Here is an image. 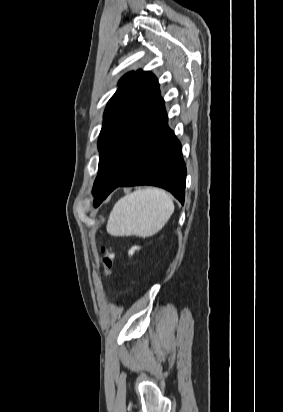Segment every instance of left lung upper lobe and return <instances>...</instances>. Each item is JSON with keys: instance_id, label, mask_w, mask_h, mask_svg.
Here are the masks:
<instances>
[{"instance_id": "1", "label": "left lung upper lobe", "mask_w": 283, "mask_h": 412, "mask_svg": "<svg viewBox=\"0 0 283 412\" xmlns=\"http://www.w3.org/2000/svg\"><path fill=\"white\" fill-rule=\"evenodd\" d=\"M157 79L150 72H130L109 100L98 139V150L113 157L131 159L134 169L149 147L158 123L166 117ZM94 199L100 183L93 185Z\"/></svg>"}]
</instances>
